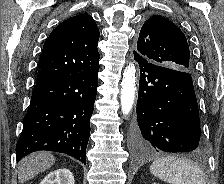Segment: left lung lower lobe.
Segmentation results:
<instances>
[{
	"label": "left lung lower lobe",
	"mask_w": 224,
	"mask_h": 184,
	"mask_svg": "<svg viewBox=\"0 0 224 184\" xmlns=\"http://www.w3.org/2000/svg\"><path fill=\"white\" fill-rule=\"evenodd\" d=\"M134 59L140 66L136 147L140 151L202 152L204 143L191 74L148 63L138 55Z\"/></svg>",
	"instance_id": "1"
}]
</instances>
